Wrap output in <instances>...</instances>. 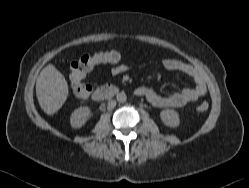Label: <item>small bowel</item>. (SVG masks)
Returning a JSON list of instances; mask_svg holds the SVG:
<instances>
[{"mask_svg": "<svg viewBox=\"0 0 249 188\" xmlns=\"http://www.w3.org/2000/svg\"><path fill=\"white\" fill-rule=\"evenodd\" d=\"M162 65L166 70L180 72L190 77L194 82V87L185 88L182 91H172L166 96L158 94L151 87L137 88L136 94L145 97L152 106L158 108H181L207 93V86L203 77L192 65L172 58L164 59ZM126 69L125 64L116 63L112 71L114 74H120Z\"/></svg>", "mask_w": 249, "mask_h": 188, "instance_id": "1", "label": "small bowel"}]
</instances>
